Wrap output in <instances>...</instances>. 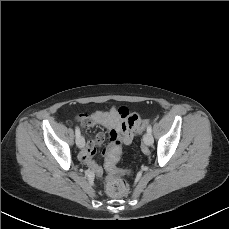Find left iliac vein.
I'll return each instance as SVG.
<instances>
[{"mask_svg":"<svg viewBox=\"0 0 229 229\" xmlns=\"http://www.w3.org/2000/svg\"><path fill=\"white\" fill-rule=\"evenodd\" d=\"M143 142L147 146H151L153 144V137H152L151 133L147 132V133L144 134Z\"/></svg>","mask_w":229,"mask_h":229,"instance_id":"left-iliac-vein-1","label":"left iliac vein"}]
</instances>
